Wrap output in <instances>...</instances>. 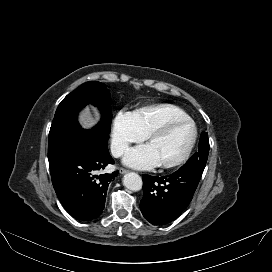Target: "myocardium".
<instances>
[{
    "mask_svg": "<svg viewBox=\"0 0 272 272\" xmlns=\"http://www.w3.org/2000/svg\"><path fill=\"white\" fill-rule=\"evenodd\" d=\"M179 124H189L192 127L193 135H192L191 142H190L188 148L186 149V151L184 152V154L180 158H178L177 160H175L171 163H159L158 165L163 169H174V168L180 167L184 163H186L187 160L190 158V156L193 152V149L196 145L197 138H198V129H197L196 123L190 117L172 119V120H169V121L163 123L162 125L158 126L157 128L153 129L152 131H150L146 135L145 140L148 143L153 138L165 134L171 128H173L174 126L179 125Z\"/></svg>",
    "mask_w": 272,
    "mask_h": 272,
    "instance_id": "1",
    "label": "myocardium"
}]
</instances>
